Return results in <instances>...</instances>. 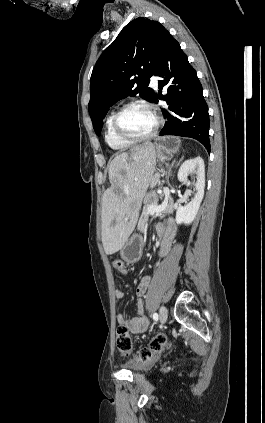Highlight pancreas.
I'll use <instances>...</instances> for the list:
<instances>
[{"label": "pancreas", "instance_id": "cf45deb5", "mask_svg": "<svg viewBox=\"0 0 265 423\" xmlns=\"http://www.w3.org/2000/svg\"><path fill=\"white\" fill-rule=\"evenodd\" d=\"M159 196L156 195L154 192H149L144 198V207L141 214V217L138 222V230L143 231L146 229L147 221L149 219V211L148 208L151 205H158ZM173 213V199L170 196L169 202L164 211L161 214H171Z\"/></svg>", "mask_w": 265, "mask_h": 423}]
</instances>
